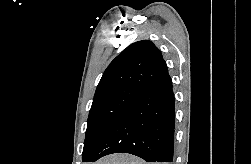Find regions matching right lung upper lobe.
<instances>
[{"label": "right lung upper lobe", "mask_w": 251, "mask_h": 164, "mask_svg": "<svg viewBox=\"0 0 251 164\" xmlns=\"http://www.w3.org/2000/svg\"><path fill=\"white\" fill-rule=\"evenodd\" d=\"M166 75L168 68L159 49L149 40L138 41L110 63L94 97L122 87L142 89Z\"/></svg>", "instance_id": "right-lung-upper-lobe-1"}]
</instances>
